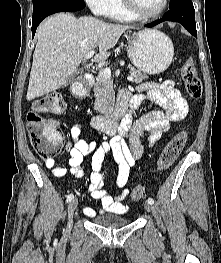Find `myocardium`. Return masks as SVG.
<instances>
[{
  "label": "myocardium",
  "mask_w": 221,
  "mask_h": 263,
  "mask_svg": "<svg viewBox=\"0 0 221 263\" xmlns=\"http://www.w3.org/2000/svg\"><path fill=\"white\" fill-rule=\"evenodd\" d=\"M125 8L138 19H153L160 16L168 7L169 0H163V4L159 10L153 13H143L138 8L135 0H122Z\"/></svg>",
  "instance_id": "obj_1"
}]
</instances>
